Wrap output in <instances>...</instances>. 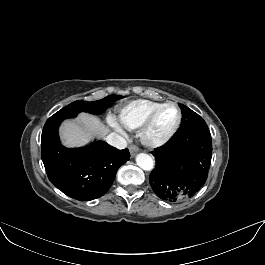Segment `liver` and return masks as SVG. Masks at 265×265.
<instances>
[{
	"mask_svg": "<svg viewBox=\"0 0 265 265\" xmlns=\"http://www.w3.org/2000/svg\"><path fill=\"white\" fill-rule=\"evenodd\" d=\"M109 132L100 119L88 113H82L78 121H65L60 127L61 139L67 147H80L94 136L104 137Z\"/></svg>",
	"mask_w": 265,
	"mask_h": 265,
	"instance_id": "6515ba94",
	"label": "liver"
}]
</instances>
